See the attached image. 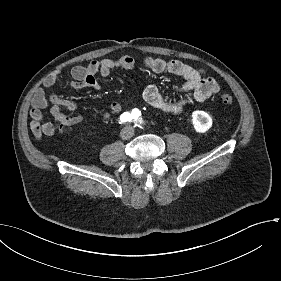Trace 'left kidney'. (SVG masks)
<instances>
[{"label":"left kidney","mask_w":281,"mask_h":281,"mask_svg":"<svg viewBox=\"0 0 281 281\" xmlns=\"http://www.w3.org/2000/svg\"><path fill=\"white\" fill-rule=\"evenodd\" d=\"M192 123L196 132L204 133L212 126V119L204 111H194L192 113Z\"/></svg>","instance_id":"1"}]
</instances>
